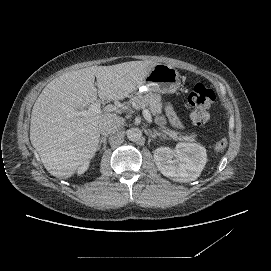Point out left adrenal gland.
I'll list each match as a JSON object with an SVG mask.
<instances>
[{
	"label": "left adrenal gland",
	"mask_w": 271,
	"mask_h": 271,
	"mask_svg": "<svg viewBox=\"0 0 271 271\" xmlns=\"http://www.w3.org/2000/svg\"><path fill=\"white\" fill-rule=\"evenodd\" d=\"M162 134L161 133H158V132H154V133H151L150 134V136L152 137V138H156L157 136H161Z\"/></svg>",
	"instance_id": "obj_1"
}]
</instances>
